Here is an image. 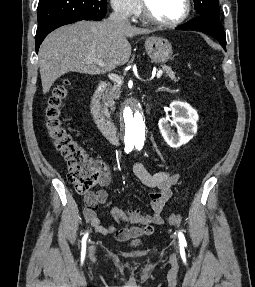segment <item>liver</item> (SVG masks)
I'll list each match as a JSON object with an SVG mask.
<instances>
[{
  "label": "liver",
  "instance_id": "6515ba94",
  "mask_svg": "<svg viewBox=\"0 0 255 287\" xmlns=\"http://www.w3.org/2000/svg\"><path fill=\"white\" fill-rule=\"evenodd\" d=\"M151 32L154 30L108 22H77L58 28L45 38L39 50L43 94L67 72L105 74L116 66H124L131 56L127 38ZM85 58H99L105 66L85 64Z\"/></svg>",
  "mask_w": 255,
  "mask_h": 287
}]
</instances>
